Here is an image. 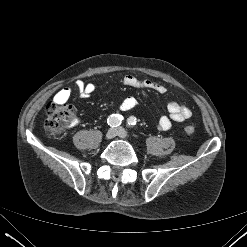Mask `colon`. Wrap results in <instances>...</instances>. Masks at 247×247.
I'll return each mask as SVG.
<instances>
[{"label":"colon","instance_id":"1","mask_svg":"<svg viewBox=\"0 0 247 247\" xmlns=\"http://www.w3.org/2000/svg\"><path fill=\"white\" fill-rule=\"evenodd\" d=\"M45 113V130L49 136L56 137L63 131V129L71 124L75 109L70 104L50 102L46 106ZM194 131L195 127L192 123H188L184 126V133L187 136L192 135Z\"/></svg>","mask_w":247,"mask_h":247}]
</instances>
